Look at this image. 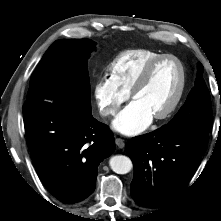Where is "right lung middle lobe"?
Masks as SVG:
<instances>
[{
	"instance_id": "obj_1",
	"label": "right lung middle lobe",
	"mask_w": 221,
	"mask_h": 221,
	"mask_svg": "<svg viewBox=\"0 0 221 221\" xmlns=\"http://www.w3.org/2000/svg\"><path fill=\"white\" fill-rule=\"evenodd\" d=\"M94 45L89 39L55 41L31 76L27 101L64 98L77 107L91 110L87 58Z\"/></svg>"
}]
</instances>
